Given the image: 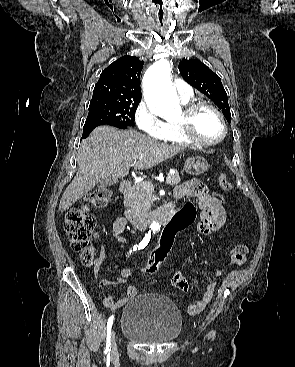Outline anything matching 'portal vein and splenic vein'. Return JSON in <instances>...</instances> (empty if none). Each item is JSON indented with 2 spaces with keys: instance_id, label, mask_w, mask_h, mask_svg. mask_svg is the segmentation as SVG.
Wrapping results in <instances>:
<instances>
[{
  "instance_id": "obj_1",
  "label": "portal vein and splenic vein",
  "mask_w": 295,
  "mask_h": 367,
  "mask_svg": "<svg viewBox=\"0 0 295 367\" xmlns=\"http://www.w3.org/2000/svg\"><path fill=\"white\" fill-rule=\"evenodd\" d=\"M170 181H171V178L170 177H167L166 178V184H169L170 183ZM148 190H153V186H150L149 188H148Z\"/></svg>"
}]
</instances>
